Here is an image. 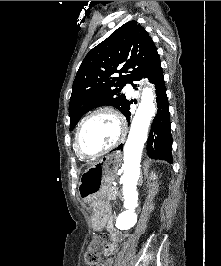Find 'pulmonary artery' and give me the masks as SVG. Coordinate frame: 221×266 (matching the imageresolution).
Masks as SVG:
<instances>
[{
  "instance_id": "pulmonary-artery-1",
  "label": "pulmonary artery",
  "mask_w": 221,
  "mask_h": 266,
  "mask_svg": "<svg viewBox=\"0 0 221 266\" xmlns=\"http://www.w3.org/2000/svg\"><path fill=\"white\" fill-rule=\"evenodd\" d=\"M125 91H126L128 94H132V93H133V89H132V87H131L130 85H127V86L125 87Z\"/></svg>"
}]
</instances>
